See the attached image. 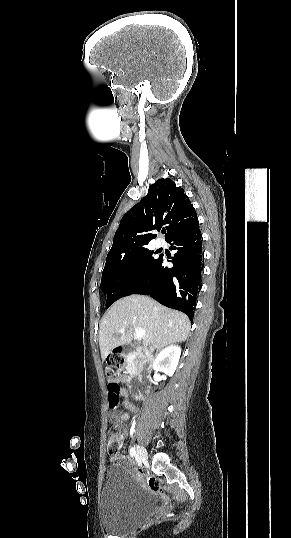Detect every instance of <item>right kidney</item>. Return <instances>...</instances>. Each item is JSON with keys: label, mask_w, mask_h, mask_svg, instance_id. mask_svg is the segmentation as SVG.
I'll list each match as a JSON object with an SVG mask.
<instances>
[{"label": "right kidney", "mask_w": 291, "mask_h": 538, "mask_svg": "<svg viewBox=\"0 0 291 538\" xmlns=\"http://www.w3.org/2000/svg\"><path fill=\"white\" fill-rule=\"evenodd\" d=\"M181 348L178 345H170L164 348L156 357L153 363V369L156 372H163L168 376H172L177 368Z\"/></svg>", "instance_id": "ca27d5eb"}]
</instances>
